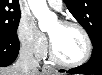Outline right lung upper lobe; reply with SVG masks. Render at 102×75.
I'll return each instance as SVG.
<instances>
[{
    "instance_id": "obj_1",
    "label": "right lung upper lobe",
    "mask_w": 102,
    "mask_h": 75,
    "mask_svg": "<svg viewBox=\"0 0 102 75\" xmlns=\"http://www.w3.org/2000/svg\"><path fill=\"white\" fill-rule=\"evenodd\" d=\"M0 3L18 4V0H0Z\"/></svg>"
}]
</instances>
